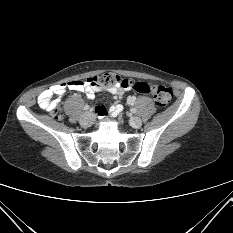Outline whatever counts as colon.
I'll use <instances>...</instances> for the list:
<instances>
[{"instance_id": "1", "label": "colon", "mask_w": 233, "mask_h": 233, "mask_svg": "<svg viewBox=\"0 0 233 233\" xmlns=\"http://www.w3.org/2000/svg\"><path fill=\"white\" fill-rule=\"evenodd\" d=\"M88 79H92L94 83L98 84V87L109 88L113 86H120L125 89L133 88L136 92L140 94H149L153 97L155 103L159 107L167 106L173 99V92L171 88L163 85H150L145 82L133 83L128 79H123L115 73H102L95 75ZM51 115L55 119H60L62 117L61 113L55 108L52 110Z\"/></svg>"}]
</instances>
